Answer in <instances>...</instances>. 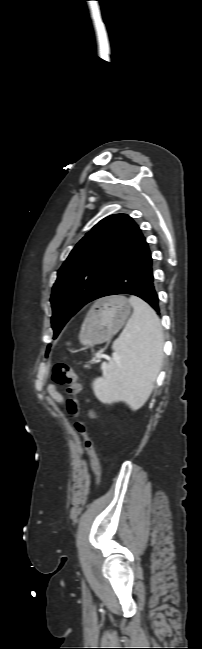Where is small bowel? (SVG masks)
Listing matches in <instances>:
<instances>
[{
    "label": "small bowel",
    "instance_id": "small-bowel-1",
    "mask_svg": "<svg viewBox=\"0 0 202 649\" xmlns=\"http://www.w3.org/2000/svg\"><path fill=\"white\" fill-rule=\"evenodd\" d=\"M48 390H49V394H50L51 398H52V399H53V400H54L58 405H62V404H63V401H64V400H63V396H62L61 393L57 390L56 386H55V385H50Z\"/></svg>",
    "mask_w": 202,
    "mask_h": 649
}]
</instances>
